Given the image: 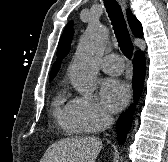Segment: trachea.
I'll list each match as a JSON object with an SVG mask.
<instances>
[{
	"instance_id": "obj_1",
	"label": "trachea",
	"mask_w": 168,
	"mask_h": 162,
	"mask_svg": "<svg viewBox=\"0 0 168 162\" xmlns=\"http://www.w3.org/2000/svg\"><path fill=\"white\" fill-rule=\"evenodd\" d=\"M104 4L110 20L112 21L113 29L116 34L119 47L122 53L128 59H131L134 47L129 36L126 21L124 19L121 7L116 2V0H104Z\"/></svg>"
}]
</instances>
